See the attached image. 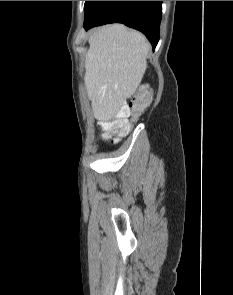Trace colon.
Returning a JSON list of instances; mask_svg holds the SVG:
<instances>
[{"label":"colon","mask_w":233,"mask_h":295,"mask_svg":"<svg viewBox=\"0 0 233 295\" xmlns=\"http://www.w3.org/2000/svg\"><path fill=\"white\" fill-rule=\"evenodd\" d=\"M150 92L146 87L136 90L129 100L120 108L116 116L100 123L103 135L115 141L123 138L129 131L130 124L127 118L139 116L149 105Z\"/></svg>","instance_id":"1"}]
</instances>
